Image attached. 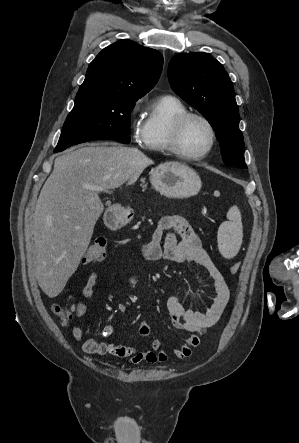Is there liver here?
I'll return each instance as SVG.
<instances>
[{"label":"liver","instance_id":"obj_1","mask_svg":"<svg viewBox=\"0 0 299 443\" xmlns=\"http://www.w3.org/2000/svg\"><path fill=\"white\" fill-rule=\"evenodd\" d=\"M153 163L137 148L97 144L55 159L33 216L35 275L48 297L58 296L76 271L103 213L101 191L86 186L118 188Z\"/></svg>","mask_w":299,"mask_h":443}]
</instances>
